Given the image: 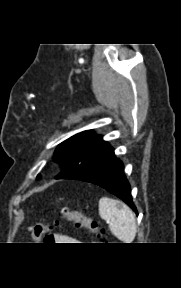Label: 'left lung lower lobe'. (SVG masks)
Masks as SVG:
<instances>
[{"mask_svg": "<svg viewBox=\"0 0 181 288\" xmlns=\"http://www.w3.org/2000/svg\"><path fill=\"white\" fill-rule=\"evenodd\" d=\"M80 180L96 184L116 195L138 215L136 206L132 201L130 184L124 175V165L114 153L108 160Z\"/></svg>", "mask_w": 181, "mask_h": 288, "instance_id": "0a47b994", "label": "left lung lower lobe"}]
</instances>
